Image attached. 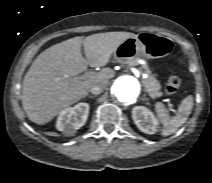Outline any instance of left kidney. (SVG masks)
Returning <instances> with one entry per match:
<instances>
[{"label": "left kidney", "mask_w": 212, "mask_h": 183, "mask_svg": "<svg viewBox=\"0 0 212 183\" xmlns=\"http://www.w3.org/2000/svg\"><path fill=\"white\" fill-rule=\"evenodd\" d=\"M132 118L140 131L146 134L157 132L158 120L153 112L144 106H136L132 110Z\"/></svg>", "instance_id": "obj_1"}]
</instances>
